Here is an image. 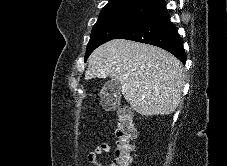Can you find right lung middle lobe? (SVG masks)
I'll return each instance as SVG.
<instances>
[{"mask_svg":"<svg viewBox=\"0 0 227 166\" xmlns=\"http://www.w3.org/2000/svg\"><path fill=\"white\" fill-rule=\"evenodd\" d=\"M158 7L140 4H121L103 8L93 27L85 60L101 44L116 39L152 15Z\"/></svg>","mask_w":227,"mask_h":166,"instance_id":"right-lung-middle-lobe-1","label":"right lung middle lobe"}]
</instances>
